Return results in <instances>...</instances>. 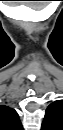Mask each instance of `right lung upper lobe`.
I'll use <instances>...</instances> for the list:
<instances>
[{
    "instance_id": "obj_1",
    "label": "right lung upper lobe",
    "mask_w": 63,
    "mask_h": 130,
    "mask_svg": "<svg viewBox=\"0 0 63 130\" xmlns=\"http://www.w3.org/2000/svg\"><path fill=\"white\" fill-rule=\"evenodd\" d=\"M0 128L1 130H22L19 116L14 109L0 106Z\"/></svg>"
}]
</instances>
